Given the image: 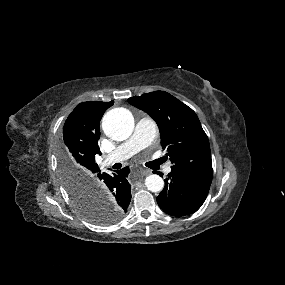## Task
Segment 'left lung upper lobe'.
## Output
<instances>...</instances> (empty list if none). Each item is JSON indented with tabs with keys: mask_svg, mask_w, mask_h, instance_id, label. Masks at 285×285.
Wrapping results in <instances>:
<instances>
[{
	"mask_svg": "<svg viewBox=\"0 0 285 285\" xmlns=\"http://www.w3.org/2000/svg\"><path fill=\"white\" fill-rule=\"evenodd\" d=\"M128 102L156 121L161 145L173 164L172 170L212 177L208 137L191 108L164 91L132 97Z\"/></svg>",
	"mask_w": 285,
	"mask_h": 285,
	"instance_id": "left-lung-upper-lobe-1",
	"label": "left lung upper lobe"
}]
</instances>
